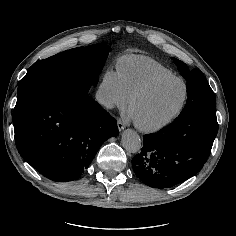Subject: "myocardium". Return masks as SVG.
<instances>
[{
    "instance_id": "obj_1",
    "label": "myocardium",
    "mask_w": 236,
    "mask_h": 236,
    "mask_svg": "<svg viewBox=\"0 0 236 236\" xmlns=\"http://www.w3.org/2000/svg\"><path fill=\"white\" fill-rule=\"evenodd\" d=\"M168 81H179L184 86V94H183V98H182V101H181L179 107L170 117H168L167 119H165L159 123L153 124V125H144V124L136 121L132 117L135 127L137 129H139L140 131L145 132V133L158 132V131L166 128L167 126L171 125L182 114V112L186 106L187 100H188L189 86H188L187 82L182 77L176 76V75H168V76H161V77L155 78V79L151 80L150 82H148L147 84H145L140 89H138L137 91H135L130 96V99H129V103H128L129 112L131 113L132 106L136 100H138L139 98H141V97L145 96L146 94H148L149 92H151L158 85H160L164 82H168Z\"/></svg>"
}]
</instances>
